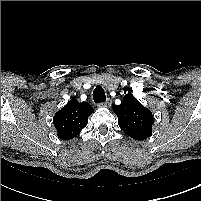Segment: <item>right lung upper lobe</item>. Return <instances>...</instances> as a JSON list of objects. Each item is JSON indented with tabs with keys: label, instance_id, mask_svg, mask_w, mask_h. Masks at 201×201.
<instances>
[{
	"label": "right lung upper lobe",
	"instance_id": "1",
	"mask_svg": "<svg viewBox=\"0 0 201 201\" xmlns=\"http://www.w3.org/2000/svg\"><path fill=\"white\" fill-rule=\"evenodd\" d=\"M93 112L90 104L79 103L72 98L53 118L58 137L63 140L74 138L87 125L88 117Z\"/></svg>",
	"mask_w": 201,
	"mask_h": 201
}]
</instances>
